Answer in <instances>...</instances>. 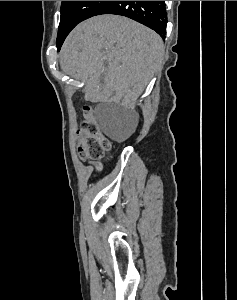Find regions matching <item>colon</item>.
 Wrapping results in <instances>:
<instances>
[{
    "label": "colon",
    "mask_w": 237,
    "mask_h": 300,
    "mask_svg": "<svg viewBox=\"0 0 237 300\" xmlns=\"http://www.w3.org/2000/svg\"><path fill=\"white\" fill-rule=\"evenodd\" d=\"M85 117L78 133L80 136L77 153L81 159L98 160L102 158L110 149L111 141L102 133L93 115V109L84 107Z\"/></svg>",
    "instance_id": "colon-1"
}]
</instances>
